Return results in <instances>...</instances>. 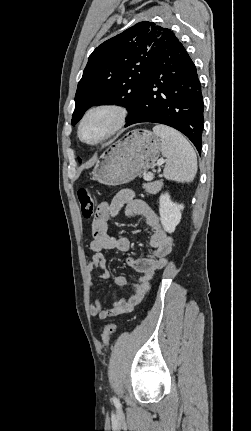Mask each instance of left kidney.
<instances>
[{
  "label": "left kidney",
  "mask_w": 251,
  "mask_h": 431,
  "mask_svg": "<svg viewBox=\"0 0 251 431\" xmlns=\"http://www.w3.org/2000/svg\"><path fill=\"white\" fill-rule=\"evenodd\" d=\"M184 209L183 204L174 203L169 193L160 195L159 198V213L160 221L164 230L168 233L175 231L176 226L182 218L181 211Z\"/></svg>",
  "instance_id": "obj_1"
}]
</instances>
